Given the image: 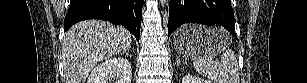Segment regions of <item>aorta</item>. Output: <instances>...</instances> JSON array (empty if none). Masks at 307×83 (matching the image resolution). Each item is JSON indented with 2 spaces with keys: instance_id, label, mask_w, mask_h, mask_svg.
<instances>
[{
  "instance_id": "aorta-1",
  "label": "aorta",
  "mask_w": 307,
  "mask_h": 83,
  "mask_svg": "<svg viewBox=\"0 0 307 83\" xmlns=\"http://www.w3.org/2000/svg\"><path fill=\"white\" fill-rule=\"evenodd\" d=\"M167 0H160L161 5L164 7V5L167 3Z\"/></svg>"
}]
</instances>
